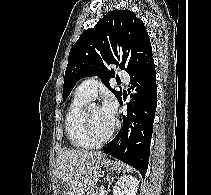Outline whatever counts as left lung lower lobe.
Here are the masks:
<instances>
[{"label":"left lung lower lobe","instance_id":"left-lung-lower-lobe-1","mask_svg":"<svg viewBox=\"0 0 211 195\" xmlns=\"http://www.w3.org/2000/svg\"><path fill=\"white\" fill-rule=\"evenodd\" d=\"M132 100L127 104V115L124 116L123 128L103 151L115 158L137 168L145 177L149 163L150 142L156 111L157 87L156 71L151 58L138 72L130 76ZM123 99L125 96L123 95ZM122 105V98L119 101ZM134 112L135 116H132Z\"/></svg>","mask_w":211,"mask_h":195}]
</instances>
